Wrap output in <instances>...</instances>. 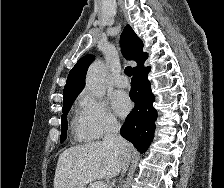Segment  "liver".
<instances>
[{"mask_svg": "<svg viewBox=\"0 0 224 188\" xmlns=\"http://www.w3.org/2000/svg\"><path fill=\"white\" fill-rule=\"evenodd\" d=\"M121 168V152L102 141L71 147L59 156L54 188H85L98 178H114Z\"/></svg>", "mask_w": 224, "mask_h": 188, "instance_id": "6515ba94", "label": "liver"}]
</instances>
